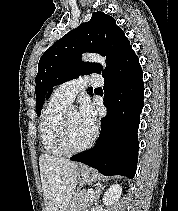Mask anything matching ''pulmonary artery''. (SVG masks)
<instances>
[{
    "label": "pulmonary artery",
    "instance_id": "e3ab8cb5",
    "mask_svg": "<svg viewBox=\"0 0 178 211\" xmlns=\"http://www.w3.org/2000/svg\"><path fill=\"white\" fill-rule=\"evenodd\" d=\"M102 84L103 80L98 74H91L84 77H78L61 84L55 90V94L66 102L71 103L77 94L85 87H96Z\"/></svg>",
    "mask_w": 178,
    "mask_h": 211
}]
</instances>
